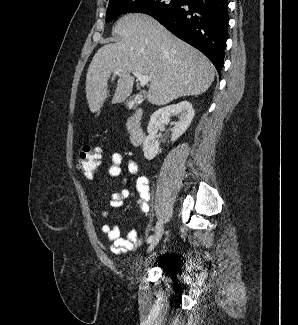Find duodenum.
<instances>
[{"label":"duodenum","instance_id":"1","mask_svg":"<svg viewBox=\"0 0 298 325\" xmlns=\"http://www.w3.org/2000/svg\"><path fill=\"white\" fill-rule=\"evenodd\" d=\"M128 130L130 143L135 147L140 146L145 139L142 109L137 108L130 115L128 119Z\"/></svg>","mask_w":298,"mask_h":325}]
</instances>
